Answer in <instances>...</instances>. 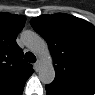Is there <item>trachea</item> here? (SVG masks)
Here are the masks:
<instances>
[{
	"mask_svg": "<svg viewBox=\"0 0 95 95\" xmlns=\"http://www.w3.org/2000/svg\"><path fill=\"white\" fill-rule=\"evenodd\" d=\"M24 59L30 63H34L36 62V57L33 53L31 52H27L25 55H24Z\"/></svg>",
	"mask_w": 95,
	"mask_h": 95,
	"instance_id": "obj_1",
	"label": "trachea"
}]
</instances>
